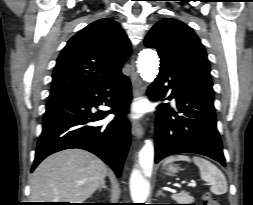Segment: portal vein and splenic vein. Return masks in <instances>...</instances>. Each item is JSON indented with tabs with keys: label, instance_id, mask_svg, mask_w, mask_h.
<instances>
[{
	"label": "portal vein and splenic vein",
	"instance_id": "obj_1",
	"mask_svg": "<svg viewBox=\"0 0 253 205\" xmlns=\"http://www.w3.org/2000/svg\"><path fill=\"white\" fill-rule=\"evenodd\" d=\"M188 186H191V187H195L196 186V183L195 182H190L187 184Z\"/></svg>",
	"mask_w": 253,
	"mask_h": 205
}]
</instances>
